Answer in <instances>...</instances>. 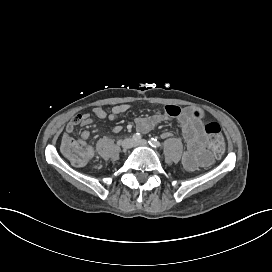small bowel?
Segmentation results:
<instances>
[{"instance_id":"1","label":"small bowel","mask_w":272,"mask_h":272,"mask_svg":"<svg viewBox=\"0 0 272 272\" xmlns=\"http://www.w3.org/2000/svg\"><path fill=\"white\" fill-rule=\"evenodd\" d=\"M129 110L128 104H117L112 107L108 113L100 106L93 108V115L98 119H107L114 121L119 115L126 113ZM167 117L176 118V123L180 128L185 150L182 157V163L188 171L196 170L200 164L204 163L206 158L205 152V136L202 131L201 119L204 114L201 110L178 106H167L164 113L159 110H154L150 115L139 117L135 120L137 129L142 133L151 131L158 123L167 119ZM93 122L89 113H80L73 118L66 126V128L75 129L78 125L88 126ZM122 127L117 125L113 128L115 133L121 132ZM84 140L90 137V131L85 130L81 134ZM164 138L170 137L171 133L166 131L162 134ZM91 148V147H90Z\"/></svg>"}]
</instances>
